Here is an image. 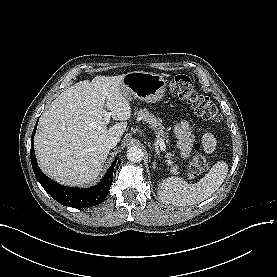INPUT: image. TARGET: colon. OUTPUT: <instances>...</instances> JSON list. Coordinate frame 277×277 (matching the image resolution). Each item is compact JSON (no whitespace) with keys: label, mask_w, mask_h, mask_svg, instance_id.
Wrapping results in <instances>:
<instances>
[{"label":"colon","mask_w":277,"mask_h":277,"mask_svg":"<svg viewBox=\"0 0 277 277\" xmlns=\"http://www.w3.org/2000/svg\"><path fill=\"white\" fill-rule=\"evenodd\" d=\"M172 95L185 100L195 111L196 115L207 121H219V110L214 102L208 97L199 94L192 85L189 77L177 76L170 84ZM209 168L207 159L202 155L201 149L197 148L196 154L191 160L190 171L194 176L204 174Z\"/></svg>","instance_id":"1"}]
</instances>
